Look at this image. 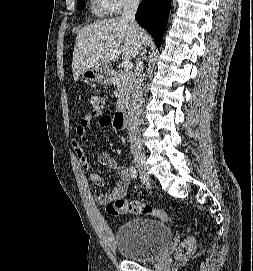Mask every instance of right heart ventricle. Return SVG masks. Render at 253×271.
Returning <instances> with one entry per match:
<instances>
[{
	"instance_id": "e07e8e85",
	"label": "right heart ventricle",
	"mask_w": 253,
	"mask_h": 271,
	"mask_svg": "<svg viewBox=\"0 0 253 271\" xmlns=\"http://www.w3.org/2000/svg\"><path fill=\"white\" fill-rule=\"evenodd\" d=\"M95 1H98V0H95ZM98 10L101 12H106V10L101 5L99 6Z\"/></svg>"
}]
</instances>
